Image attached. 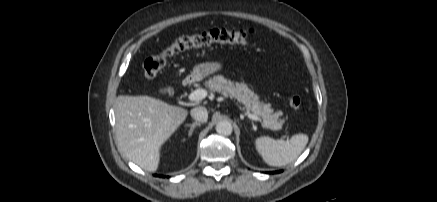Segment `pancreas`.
<instances>
[{"instance_id":"pancreas-1","label":"pancreas","mask_w":437,"mask_h":202,"mask_svg":"<svg viewBox=\"0 0 437 202\" xmlns=\"http://www.w3.org/2000/svg\"><path fill=\"white\" fill-rule=\"evenodd\" d=\"M205 85L213 92H219L225 97L236 99L242 103L248 112L261 117L263 127L273 131L282 128L284 121L280 117L283 115V112H274L271 104L260 101L259 96L246 83H234L222 75H216L206 81Z\"/></svg>"}]
</instances>
